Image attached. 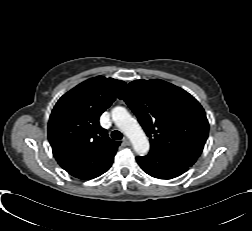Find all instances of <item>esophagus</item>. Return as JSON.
<instances>
[{
    "label": "esophagus",
    "mask_w": 252,
    "mask_h": 231,
    "mask_svg": "<svg viewBox=\"0 0 252 231\" xmlns=\"http://www.w3.org/2000/svg\"><path fill=\"white\" fill-rule=\"evenodd\" d=\"M123 144L126 145V146H129L131 144L128 137L123 138Z\"/></svg>",
    "instance_id": "esophagus-1"
}]
</instances>
